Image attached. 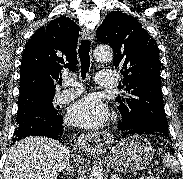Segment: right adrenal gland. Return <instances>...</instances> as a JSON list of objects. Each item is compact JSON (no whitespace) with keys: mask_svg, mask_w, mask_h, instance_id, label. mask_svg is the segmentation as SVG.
Instances as JSON below:
<instances>
[{"mask_svg":"<svg viewBox=\"0 0 183 179\" xmlns=\"http://www.w3.org/2000/svg\"><path fill=\"white\" fill-rule=\"evenodd\" d=\"M67 174H74V167L72 166L71 162L68 163L66 168Z\"/></svg>","mask_w":183,"mask_h":179,"instance_id":"right-adrenal-gland-1","label":"right adrenal gland"}]
</instances>
